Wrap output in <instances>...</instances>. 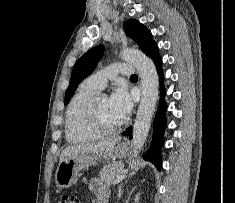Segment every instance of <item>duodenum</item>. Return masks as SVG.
I'll use <instances>...</instances> for the list:
<instances>
[{
	"instance_id": "1",
	"label": "duodenum",
	"mask_w": 235,
	"mask_h": 203,
	"mask_svg": "<svg viewBox=\"0 0 235 203\" xmlns=\"http://www.w3.org/2000/svg\"><path fill=\"white\" fill-rule=\"evenodd\" d=\"M100 203H107V200H102L100 201Z\"/></svg>"
}]
</instances>
